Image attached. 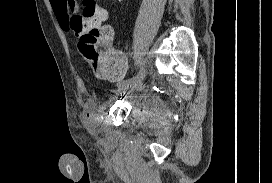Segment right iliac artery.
<instances>
[{"instance_id":"1","label":"right iliac artery","mask_w":272,"mask_h":183,"mask_svg":"<svg viewBox=\"0 0 272 183\" xmlns=\"http://www.w3.org/2000/svg\"><path fill=\"white\" fill-rule=\"evenodd\" d=\"M134 71H135V73H136V74L134 75L135 77L133 76L131 79L126 80V82L134 81V80L139 76L137 73H140L141 70H140V68H135ZM119 84H120V82H119L117 85H119Z\"/></svg>"}]
</instances>
